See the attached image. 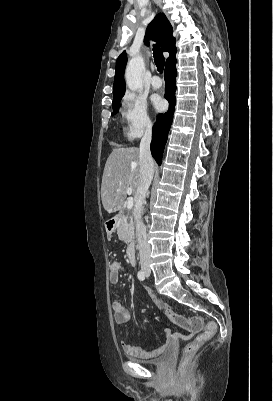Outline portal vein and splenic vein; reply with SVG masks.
<instances>
[{"instance_id": "1", "label": "portal vein and splenic vein", "mask_w": 273, "mask_h": 401, "mask_svg": "<svg viewBox=\"0 0 273 401\" xmlns=\"http://www.w3.org/2000/svg\"><path fill=\"white\" fill-rule=\"evenodd\" d=\"M127 194H132V188H126ZM133 196H129L128 201H127V209H132L133 207Z\"/></svg>"}]
</instances>
